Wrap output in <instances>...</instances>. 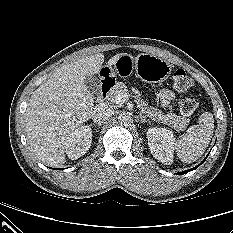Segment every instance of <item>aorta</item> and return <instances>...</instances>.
Listing matches in <instances>:
<instances>
[{
    "instance_id": "aorta-1",
    "label": "aorta",
    "mask_w": 233,
    "mask_h": 233,
    "mask_svg": "<svg viewBox=\"0 0 233 233\" xmlns=\"http://www.w3.org/2000/svg\"><path fill=\"white\" fill-rule=\"evenodd\" d=\"M118 122L121 126L127 127L133 123V119L130 115L123 113L118 116Z\"/></svg>"
}]
</instances>
